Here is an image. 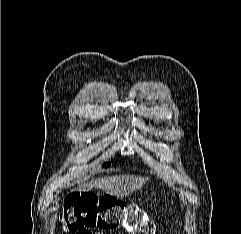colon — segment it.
Wrapping results in <instances>:
<instances>
[{
    "label": "colon",
    "instance_id": "colon-1",
    "mask_svg": "<svg viewBox=\"0 0 241 234\" xmlns=\"http://www.w3.org/2000/svg\"><path fill=\"white\" fill-rule=\"evenodd\" d=\"M61 219L64 227L76 234L90 228L109 230L121 225L132 234L154 233L153 223L138 206L91 193L69 195L65 199Z\"/></svg>",
    "mask_w": 241,
    "mask_h": 234
}]
</instances>
